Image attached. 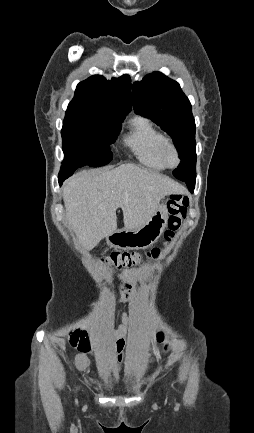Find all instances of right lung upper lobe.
I'll list each match as a JSON object with an SVG mask.
<instances>
[{"instance_id":"1","label":"right lung upper lobe","mask_w":254,"mask_h":433,"mask_svg":"<svg viewBox=\"0 0 254 433\" xmlns=\"http://www.w3.org/2000/svg\"><path fill=\"white\" fill-rule=\"evenodd\" d=\"M94 108L107 112L115 121H123L131 111V81L128 75L110 81L95 75L77 85L68 108Z\"/></svg>"}]
</instances>
